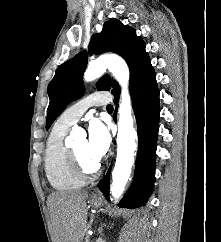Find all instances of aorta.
Masks as SVG:
<instances>
[{"label":"aorta","instance_id":"obj_1","mask_svg":"<svg viewBox=\"0 0 221 242\" xmlns=\"http://www.w3.org/2000/svg\"><path fill=\"white\" fill-rule=\"evenodd\" d=\"M108 69L121 85V103L119 106L117 158L112 171V184L110 192L113 198L118 199L123 194L134 163V153L137 145L135 142L136 131L133 127L131 114V100L128 91L129 68L126 62L116 55H105L93 61L84 73V81L91 82L102 76ZM74 138V133L70 135Z\"/></svg>","mask_w":221,"mask_h":242}]
</instances>
